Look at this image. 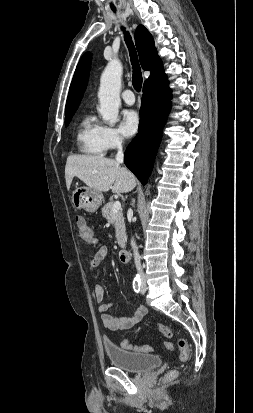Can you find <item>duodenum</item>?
<instances>
[{"label":"duodenum","instance_id":"410a0bca","mask_svg":"<svg viewBox=\"0 0 253 413\" xmlns=\"http://www.w3.org/2000/svg\"><path fill=\"white\" fill-rule=\"evenodd\" d=\"M129 259H130V253H129L128 249H126V248L121 249L120 252H119V260L122 263H127L129 261Z\"/></svg>","mask_w":253,"mask_h":413}]
</instances>
